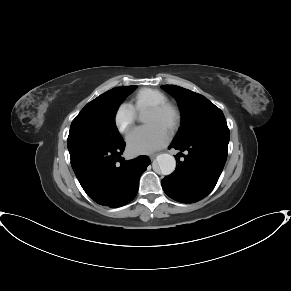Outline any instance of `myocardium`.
I'll return each instance as SVG.
<instances>
[{
  "label": "myocardium",
  "instance_id": "myocardium-1",
  "mask_svg": "<svg viewBox=\"0 0 291 291\" xmlns=\"http://www.w3.org/2000/svg\"><path fill=\"white\" fill-rule=\"evenodd\" d=\"M146 110L153 111L167 117V129L170 132L175 131L180 126L181 113L179 109L171 103L165 102L151 105Z\"/></svg>",
  "mask_w": 291,
  "mask_h": 291
}]
</instances>
